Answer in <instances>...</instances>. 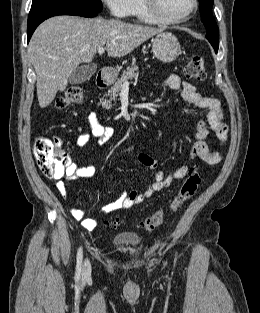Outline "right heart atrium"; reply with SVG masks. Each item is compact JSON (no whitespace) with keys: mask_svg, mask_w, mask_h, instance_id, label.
<instances>
[{"mask_svg":"<svg viewBox=\"0 0 260 313\" xmlns=\"http://www.w3.org/2000/svg\"><path fill=\"white\" fill-rule=\"evenodd\" d=\"M133 0H102L110 14L118 19L127 18L131 14Z\"/></svg>","mask_w":260,"mask_h":313,"instance_id":"1","label":"right heart atrium"}]
</instances>
